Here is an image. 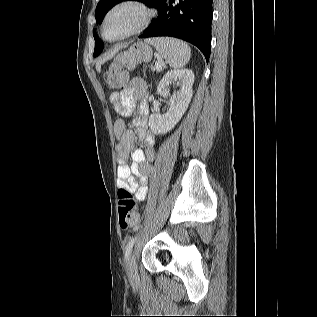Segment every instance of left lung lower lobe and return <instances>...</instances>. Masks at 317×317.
I'll return each instance as SVG.
<instances>
[{"mask_svg": "<svg viewBox=\"0 0 317 317\" xmlns=\"http://www.w3.org/2000/svg\"><path fill=\"white\" fill-rule=\"evenodd\" d=\"M213 0H162L158 17L139 38L171 36L198 47L209 61Z\"/></svg>", "mask_w": 317, "mask_h": 317, "instance_id": "0a47b994", "label": "left lung lower lobe"}]
</instances>
